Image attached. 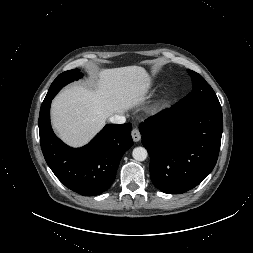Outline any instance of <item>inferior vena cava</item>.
<instances>
[{"mask_svg":"<svg viewBox=\"0 0 253 253\" xmlns=\"http://www.w3.org/2000/svg\"><path fill=\"white\" fill-rule=\"evenodd\" d=\"M110 122L114 124H123L126 121V118L123 115L115 114L110 117Z\"/></svg>","mask_w":253,"mask_h":253,"instance_id":"inferior-vena-cava-1","label":"inferior vena cava"}]
</instances>
